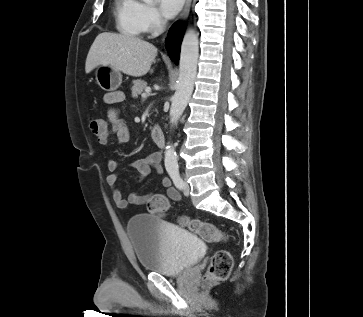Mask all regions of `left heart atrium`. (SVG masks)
<instances>
[{
  "mask_svg": "<svg viewBox=\"0 0 363 317\" xmlns=\"http://www.w3.org/2000/svg\"><path fill=\"white\" fill-rule=\"evenodd\" d=\"M159 3L162 13L171 18L180 11L184 0H159Z\"/></svg>",
  "mask_w": 363,
  "mask_h": 317,
  "instance_id": "obj_1",
  "label": "left heart atrium"
}]
</instances>
